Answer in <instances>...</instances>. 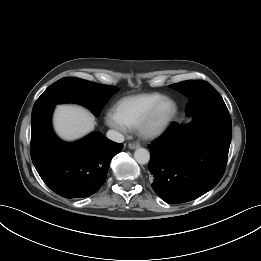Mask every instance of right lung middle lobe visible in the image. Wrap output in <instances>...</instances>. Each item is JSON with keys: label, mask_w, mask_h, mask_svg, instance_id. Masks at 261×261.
Here are the masks:
<instances>
[{"label": "right lung middle lobe", "mask_w": 261, "mask_h": 261, "mask_svg": "<svg viewBox=\"0 0 261 261\" xmlns=\"http://www.w3.org/2000/svg\"><path fill=\"white\" fill-rule=\"evenodd\" d=\"M118 91L117 87L98 84L79 78H62L49 86L34 104L32 114L57 103L72 102L89 108L99 116L101 109Z\"/></svg>", "instance_id": "dd1d6c3e"}]
</instances>
